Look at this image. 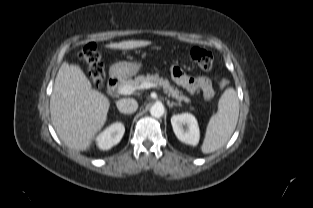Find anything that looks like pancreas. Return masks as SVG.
<instances>
[{"instance_id":"1","label":"pancreas","mask_w":313,"mask_h":208,"mask_svg":"<svg viewBox=\"0 0 313 208\" xmlns=\"http://www.w3.org/2000/svg\"><path fill=\"white\" fill-rule=\"evenodd\" d=\"M150 82L156 85H159L160 87L163 88L164 92L171 96L172 98L178 100L179 102L184 101L186 103H190V99L182 94L178 89L172 87L170 85V82L167 79L160 78L158 74L155 75H150L148 74L147 76L144 75H139L135 77L134 80L128 79V80H123L119 88L122 86H132L136 89H139V86L143 83ZM118 88V89H119Z\"/></svg>"}]
</instances>
